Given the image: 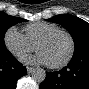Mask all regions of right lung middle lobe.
Listing matches in <instances>:
<instances>
[{
	"instance_id": "right-lung-middle-lobe-1",
	"label": "right lung middle lobe",
	"mask_w": 89,
	"mask_h": 89,
	"mask_svg": "<svg viewBox=\"0 0 89 89\" xmlns=\"http://www.w3.org/2000/svg\"><path fill=\"white\" fill-rule=\"evenodd\" d=\"M24 21L26 20L7 15L4 12H0V52L7 50L4 43V35L6 31L14 24Z\"/></svg>"
}]
</instances>
